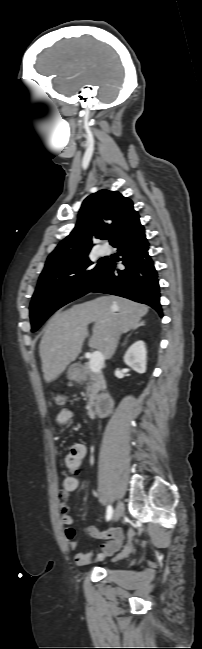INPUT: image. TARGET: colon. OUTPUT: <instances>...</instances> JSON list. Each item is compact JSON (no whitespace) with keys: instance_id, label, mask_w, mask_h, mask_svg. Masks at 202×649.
I'll use <instances>...</instances> for the list:
<instances>
[{"instance_id":"5ec220e1","label":"colon","mask_w":202,"mask_h":649,"mask_svg":"<svg viewBox=\"0 0 202 649\" xmlns=\"http://www.w3.org/2000/svg\"><path fill=\"white\" fill-rule=\"evenodd\" d=\"M53 401L58 406H63L66 402L65 394L63 392L53 393Z\"/></svg>"}]
</instances>
